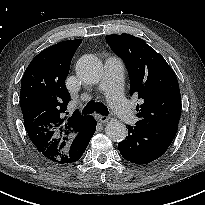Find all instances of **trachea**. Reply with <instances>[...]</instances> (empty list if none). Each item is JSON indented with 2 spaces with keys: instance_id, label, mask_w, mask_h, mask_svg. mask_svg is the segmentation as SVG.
I'll list each match as a JSON object with an SVG mask.
<instances>
[{
  "instance_id": "3493384b",
  "label": "trachea",
  "mask_w": 205,
  "mask_h": 205,
  "mask_svg": "<svg viewBox=\"0 0 205 205\" xmlns=\"http://www.w3.org/2000/svg\"><path fill=\"white\" fill-rule=\"evenodd\" d=\"M95 111L105 116L109 114L108 108L104 104L94 101L88 102L86 106L83 108L82 113L91 114Z\"/></svg>"
}]
</instances>
